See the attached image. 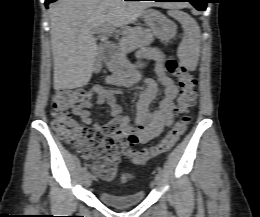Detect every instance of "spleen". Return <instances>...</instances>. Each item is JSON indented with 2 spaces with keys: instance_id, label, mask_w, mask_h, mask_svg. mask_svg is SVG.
I'll return each mask as SVG.
<instances>
[{
  "instance_id": "obj_1",
  "label": "spleen",
  "mask_w": 260,
  "mask_h": 217,
  "mask_svg": "<svg viewBox=\"0 0 260 217\" xmlns=\"http://www.w3.org/2000/svg\"><path fill=\"white\" fill-rule=\"evenodd\" d=\"M168 14L179 21L184 31L183 40L178 48V54L183 60H194L200 50V27L187 13L179 10L169 11Z\"/></svg>"
}]
</instances>
